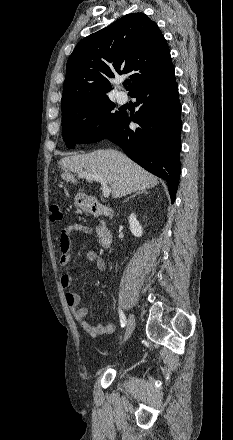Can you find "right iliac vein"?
<instances>
[{
	"mask_svg": "<svg viewBox=\"0 0 233 440\" xmlns=\"http://www.w3.org/2000/svg\"><path fill=\"white\" fill-rule=\"evenodd\" d=\"M134 328H135V318L132 314H130L128 317L127 324H126L124 338H123V341L121 342V344H123L125 341H127L131 337Z\"/></svg>",
	"mask_w": 233,
	"mask_h": 440,
	"instance_id": "63e3f726",
	"label": "right iliac vein"
}]
</instances>
